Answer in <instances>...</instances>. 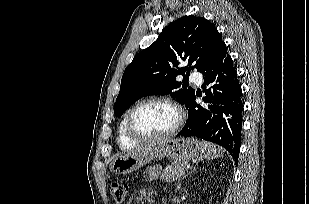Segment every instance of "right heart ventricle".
<instances>
[{
  "label": "right heart ventricle",
  "instance_id": "1",
  "mask_svg": "<svg viewBox=\"0 0 309 204\" xmlns=\"http://www.w3.org/2000/svg\"><path fill=\"white\" fill-rule=\"evenodd\" d=\"M128 114V113H127ZM127 114L124 116V118L121 120L119 127H118V144L121 148L127 149L134 147L137 142L131 140L125 131V123H126V117Z\"/></svg>",
  "mask_w": 309,
  "mask_h": 204
}]
</instances>
